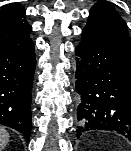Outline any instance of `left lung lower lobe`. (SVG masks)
<instances>
[{"label": "left lung lower lobe", "instance_id": "left-lung-lower-lobe-1", "mask_svg": "<svg viewBox=\"0 0 131 151\" xmlns=\"http://www.w3.org/2000/svg\"><path fill=\"white\" fill-rule=\"evenodd\" d=\"M76 46V137L110 131L131 141V54L84 33Z\"/></svg>", "mask_w": 131, "mask_h": 151}]
</instances>
